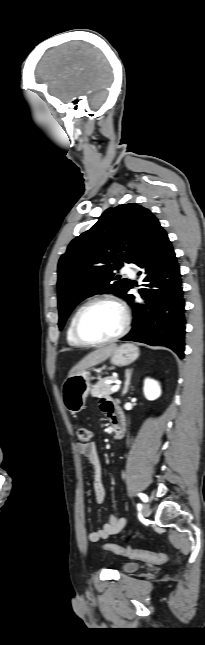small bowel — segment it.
I'll use <instances>...</instances> for the list:
<instances>
[{
    "label": "small bowel",
    "mask_w": 205,
    "mask_h": 645,
    "mask_svg": "<svg viewBox=\"0 0 205 645\" xmlns=\"http://www.w3.org/2000/svg\"><path fill=\"white\" fill-rule=\"evenodd\" d=\"M116 408L117 406L110 399H105L101 402V410L106 414L110 421L112 420L113 413ZM77 452L81 456L85 457L92 467L95 500L97 503H102L104 501L105 492L102 482V467L97 448L94 443H90L87 446L78 445ZM127 524L128 519L126 517L119 518L110 514L107 521L103 523L101 528L92 531L88 535V540L93 543L105 540L112 535L120 533Z\"/></svg>",
    "instance_id": "small-bowel-1"
}]
</instances>
